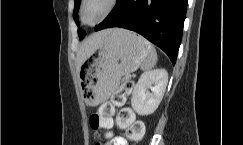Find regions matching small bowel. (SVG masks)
I'll return each instance as SVG.
<instances>
[{
  "label": "small bowel",
  "instance_id": "c3829d8e",
  "mask_svg": "<svg viewBox=\"0 0 243 145\" xmlns=\"http://www.w3.org/2000/svg\"><path fill=\"white\" fill-rule=\"evenodd\" d=\"M113 145H128V142L124 137L117 136L113 139Z\"/></svg>",
  "mask_w": 243,
  "mask_h": 145
}]
</instances>
